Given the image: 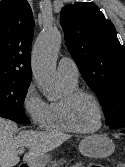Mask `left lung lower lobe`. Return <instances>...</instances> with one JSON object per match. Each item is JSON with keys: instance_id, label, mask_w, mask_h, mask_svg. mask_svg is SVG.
<instances>
[{"instance_id": "obj_1", "label": "left lung lower lobe", "mask_w": 125, "mask_h": 167, "mask_svg": "<svg viewBox=\"0 0 125 167\" xmlns=\"http://www.w3.org/2000/svg\"><path fill=\"white\" fill-rule=\"evenodd\" d=\"M120 131H122L123 133H125V129H120Z\"/></svg>"}]
</instances>
